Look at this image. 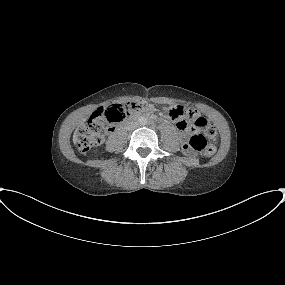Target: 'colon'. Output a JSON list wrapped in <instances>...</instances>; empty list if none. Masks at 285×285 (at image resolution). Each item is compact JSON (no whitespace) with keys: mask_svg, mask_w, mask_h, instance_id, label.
Wrapping results in <instances>:
<instances>
[{"mask_svg":"<svg viewBox=\"0 0 285 285\" xmlns=\"http://www.w3.org/2000/svg\"><path fill=\"white\" fill-rule=\"evenodd\" d=\"M150 107L151 104L148 102L130 101L113 105L107 110L98 109L76 132L75 142L78 149L81 152L89 151L102 141L104 135L110 129L109 125L122 122L132 112L146 110ZM166 113L171 119L175 120L184 114V109L181 106H171L166 108ZM180 126L183 130L190 132L183 144L185 152H202L208 157L215 153V147L208 143L207 139H215L216 129L212 125L206 126L203 117H198L192 123L181 121ZM198 128H204L203 132L197 131Z\"/></svg>","mask_w":285,"mask_h":285,"instance_id":"5ec220e1","label":"colon"}]
</instances>
